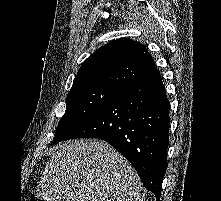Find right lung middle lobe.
Wrapping results in <instances>:
<instances>
[{
  "mask_svg": "<svg viewBox=\"0 0 221 201\" xmlns=\"http://www.w3.org/2000/svg\"><path fill=\"white\" fill-rule=\"evenodd\" d=\"M119 90L95 86L70 91L66 98V111L61 118L51 145L65 140Z\"/></svg>",
  "mask_w": 221,
  "mask_h": 201,
  "instance_id": "right-lung-middle-lobe-1",
  "label": "right lung middle lobe"
}]
</instances>
